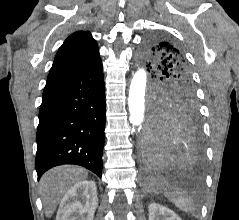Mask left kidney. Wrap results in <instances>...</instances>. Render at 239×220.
Wrapping results in <instances>:
<instances>
[{
  "label": "left kidney",
  "mask_w": 239,
  "mask_h": 220,
  "mask_svg": "<svg viewBox=\"0 0 239 220\" xmlns=\"http://www.w3.org/2000/svg\"><path fill=\"white\" fill-rule=\"evenodd\" d=\"M148 217L149 220H182L172 210L157 203H152L149 205Z\"/></svg>",
  "instance_id": "obj_1"
}]
</instances>
